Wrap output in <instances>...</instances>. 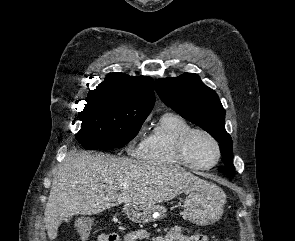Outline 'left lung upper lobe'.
<instances>
[{
  "mask_svg": "<svg viewBox=\"0 0 295 241\" xmlns=\"http://www.w3.org/2000/svg\"><path fill=\"white\" fill-rule=\"evenodd\" d=\"M156 91L162 101L182 117L200 126L219 142L225 166L219 170L234 173L232 139L224 126L225 110L214 90L197 74L184 73L176 78L158 79Z\"/></svg>",
  "mask_w": 295,
  "mask_h": 241,
  "instance_id": "5c2ea615",
  "label": "left lung upper lobe"
}]
</instances>
